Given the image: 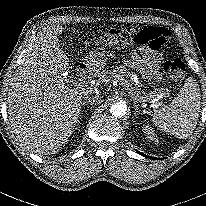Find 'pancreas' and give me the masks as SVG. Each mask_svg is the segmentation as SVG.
<instances>
[{
    "instance_id": "cf45deb5",
    "label": "pancreas",
    "mask_w": 206,
    "mask_h": 206,
    "mask_svg": "<svg viewBox=\"0 0 206 206\" xmlns=\"http://www.w3.org/2000/svg\"><path fill=\"white\" fill-rule=\"evenodd\" d=\"M132 64H135V62L127 61V65H132ZM99 77H100L101 82L107 83L112 80L122 82L123 80H125V77L129 78L130 74H129V71L124 66H121V67L115 66L111 70H107V69L103 70L99 74ZM157 93H159V91L158 92L153 91L148 96H145L144 98L140 97L141 98L140 100L152 98L156 96Z\"/></svg>"
}]
</instances>
